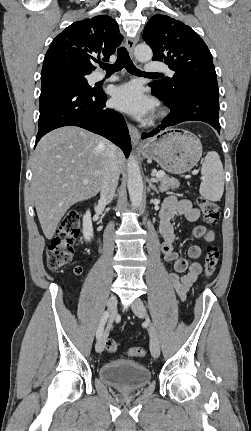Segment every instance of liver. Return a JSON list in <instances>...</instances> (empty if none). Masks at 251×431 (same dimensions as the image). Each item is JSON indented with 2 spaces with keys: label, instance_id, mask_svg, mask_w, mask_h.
Wrapping results in <instances>:
<instances>
[{
  "label": "liver",
  "instance_id": "1",
  "mask_svg": "<svg viewBox=\"0 0 251 431\" xmlns=\"http://www.w3.org/2000/svg\"><path fill=\"white\" fill-rule=\"evenodd\" d=\"M105 138L79 127L66 126L45 135L32 160L31 189L37 216L47 239L74 204L96 196L103 184ZM116 158L122 169L123 154ZM88 180L87 184L83 181Z\"/></svg>",
  "mask_w": 251,
  "mask_h": 431
}]
</instances>
